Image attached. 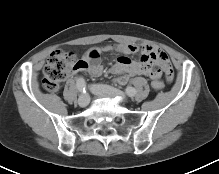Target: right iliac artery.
<instances>
[{"mask_svg":"<svg viewBox=\"0 0 219 174\" xmlns=\"http://www.w3.org/2000/svg\"><path fill=\"white\" fill-rule=\"evenodd\" d=\"M76 86L80 92L86 93L87 88H86L85 80L83 78H78Z\"/></svg>","mask_w":219,"mask_h":174,"instance_id":"1","label":"right iliac artery"}]
</instances>
